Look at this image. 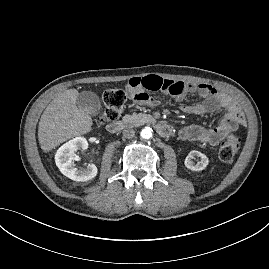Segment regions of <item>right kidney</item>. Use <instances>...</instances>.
<instances>
[{"instance_id": "obj_1", "label": "right kidney", "mask_w": 269, "mask_h": 269, "mask_svg": "<svg viewBox=\"0 0 269 269\" xmlns=\"http://www.w3.org/2000/svg\"><path fill=\"white\" fill-rule=\"evenodd\" d=\"M87 148L88 142L86 138L76 137L57 150L55 162L63 175L74 181H88L97 175V167L94 164H88L85 168L80 169L75 165V161L78 160L75 151Z\"/></svg>"}]
</instances>
